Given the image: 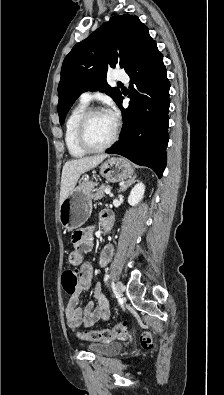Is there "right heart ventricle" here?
<instances>
[{
    "instance_id": "1",
    "label": "right heart ventricle",
    "mask_w": 224,
    "mask_h": 395,
    "mask_svg": "<svg viewBox=\"0 0 224 395\" xmlns=\"http://www.w3.org/2000/svg\"><path fill=\"white\" fill-rule=\"evenodd\" d=\"M87 110V104L80 102L70 112L65 123V143L69 154L74 158H81L87 152L81 148L77 140V125Z\"/></svg>"
}]
</instances>
